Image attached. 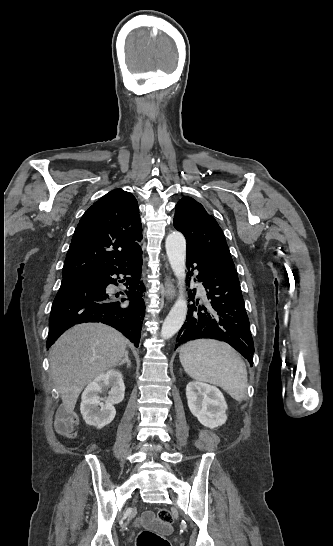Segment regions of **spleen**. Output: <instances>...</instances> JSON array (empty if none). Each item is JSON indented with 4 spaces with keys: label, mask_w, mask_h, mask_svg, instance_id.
I'll use <instances>...</instances> for the list:
<instances>
[{
    "label": "spleen",
    "mask_w": 333,
    "mask_h": 546,
    "mask_svg": "<svg viewBox=\"0 0 333 546\" xmlns=\"http://www.w3.org/2000/svg\"><path fill=\"white\" fill-rule=\"evenodd\" d=\"M180 362L193 379L223 388L241 402L247 390V369L240 355L228 344L198 339L180 348Z\"/></svg>",
    "instance_id": "spleen-1"
}]
</instances>
